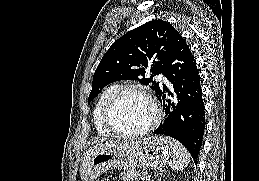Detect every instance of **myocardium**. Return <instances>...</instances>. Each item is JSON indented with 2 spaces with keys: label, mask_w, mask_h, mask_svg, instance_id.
Masks as SVG:
<instances>
[{
  "label": "myocardium",
  "mask_w": 259,
  "mask_h": 181,
  "mask_svg": "<svg viewBox=\"0 0 259 181\" xmlns=\"http://www.w3.org/2000/svg\"><path fill=\"white\" fill-rule=\"evenodd\" d=\"M127 91H138L142 93L147 100L149 101L152 110H153V118L152 120L141 130L133 131V132H125L116 128L112 121V113L115 108L116 102L119 97ZM162 118V111L153 96L152 92L149 90L148 87L137 84V83H130L125 85H120L115 88V90L109 96L103 110V122L105 126L110 130L113 135L123 137V138H136L141 137L148 134L154 128L158 126Z\"/></svg>",
  "instance_id": "obj_1"
}]
</instances>
